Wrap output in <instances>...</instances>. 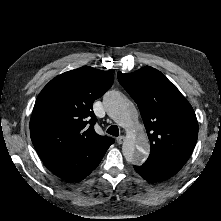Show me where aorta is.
<instances>
[{
	"label": "aorta",
	"instance_id": "aorta-1",
	"mask_svg": "<svg viewBox=\"0 0 221 221\" xmlns=\"http://www.w3.org/2000/svg\"><path fill=\"white\" fill-rule=\"evenodd\" d=\"M103 104L108 115L127 132L122 145L125 159L134 165L142 164L149 154L150 144L143 126L138 122V112L134 104L115 90L105 93Z\"/></svg>",
	"mask_w": 221,
	"mask_h": 221
}]
</instances>
